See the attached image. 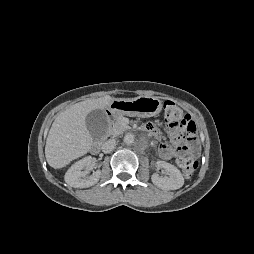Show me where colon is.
<instances>
[{
    "label": "colon",
    "instance_id": "obj_1",
    "mask_svg": "<svg viewBox=\"0 0 254 254\" xmlns=\"http://www.w3.org/2000/svg\"><path fill=\"white\" fill-rule=\"evenodd\" d=\"M164 116L169 128H183L186 132V139L190 142L187 151L190 155L181 156L177 163L181 171L186 177H191L197 169L198 162L195 158L196 132L197 127L191 116L181 107L173 102H166L164 104Z\"/></svg>",
    "mask_w": 254,
    "mask_h": 254
}]
</instances>
